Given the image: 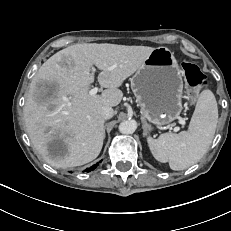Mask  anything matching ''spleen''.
Listing matches in <instances>:
<instances>
[{
	"label": "spleen",
	"mask_w": 231,
	"mask_h": 231,
	"mask_svg": "<svg viewBox=\"0 0 231 231\" xmlns=\"http://www.w3.org/2000/svg\"><path fill=\"white\" fill-rule=\"evenodd\" d=\"M218 107L214 94L206 89L200 94L189 130L179 134L164 133L157 139L148 137L154 158L169 162L172 170H184L197 163L207 152L217 126Z\"/></svg>",
	"instance_id": "spleen-1"
}]
</instances>
